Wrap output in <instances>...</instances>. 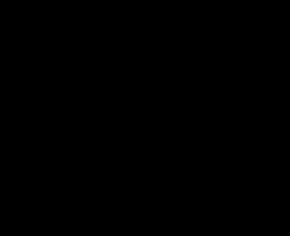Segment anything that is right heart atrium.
I'll list each match as a JSON object with an SVG mask.
<instances>
[{
    "label": "right heart atrium",
    "instance_id": "right-heart-atrium-1",
    "mask_svg": "<svg viewBox=\"0 0 290 236\" xmlns=\"http://www.w3.org/2000/svg\"><path fill=\"white\" fill-rule=\"evenodd\" d=\"M127 94L131 99L132 107L134 111L140 114L146 105V99L143 95L138 93L133 86L126 87Z\"/></svg>",
    "mask_w": 290,
    "mask_h": 236
}]
</instances>
